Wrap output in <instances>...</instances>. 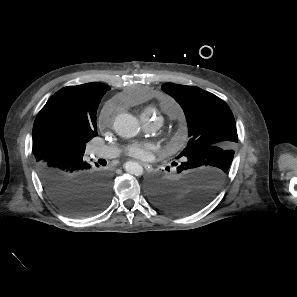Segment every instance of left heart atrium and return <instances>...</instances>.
Returning a JSON list of instances; mask_svg holds the SVG:
<instances>
[{
  "mask_svg": "<svg viewBox=\"0 0 297 297\" xmlns=\"http://www.w3.org/2000/svg\"><path fill=\"white\" fill-rule=\"evenodd\" d=\"M154 145L151 143H132L126 147L128 155L141 159L147 160L151 158Z\"/></svg>",
  "mask_w": 297,
  "mask_h": 297,
  "instance_id": "1",
  "label": "left heart atrium"
}]
</instances>
